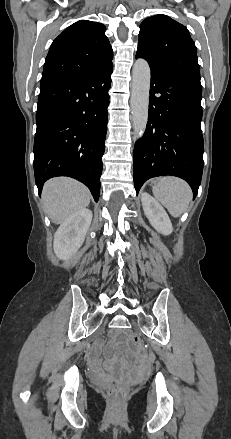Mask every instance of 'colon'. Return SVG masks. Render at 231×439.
I'll return each mask as SVG.
<instances>
[{
	"label": "colon",
	"instance_id": "1",
	"mask_svg": "<svg viewBox=\"0 0 231 439\" xmlns=\"http://www.w3.org/2000/svg\"><path fill=\"white\" fill-rule=\"evenodd\" d=\"M130 341L134 346L142 345L141 337L137 333L130 336ZM108 393L112 402L122 401L127 395L125 382L119 378H111L108 384Z\"/></svg>",
	"mask_w": 231,
	"mask_h": 439
}]
</instances>
